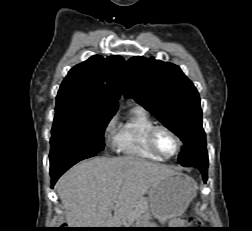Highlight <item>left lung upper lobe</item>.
Returning <instances> with one entry per match:
<instances>
[{"label": "left lung upper lobe", "mask_w": 252, "mask_h": 231, "mask_svg": "<svg viewBox=\"0 0 252 231\" xmlns=\"http://www.w3.org/2000/svg\"><path fill=\"white\" fill-rule=\"evenodd\" d=\"M123 92L180 137V164L208 161L199 94L178 66L132 57L126 64Z\"/></svg>", "instance_id": "obj_1"}]
</instances>
